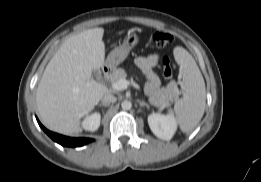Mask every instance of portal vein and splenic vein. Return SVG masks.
Instances as JSON below:
<instances>
[{
  "label": "portal vein and splenic vein",
  "mask_w": 261,
  "mask_h": 182,
  "mask_svg": "<svg viewBox=\"0 0 261 182\" xmlns=\"http://www.w3.org/2000/svg\"><path fill=\"white\" fill-rule=\"evenodd\" d=\"M130 82L126 79H120L117 82L112 83V88L117 91L125 90L129 86Z\"/></svg>",
  "instance_id": "obj_1"
}]
</instances>
